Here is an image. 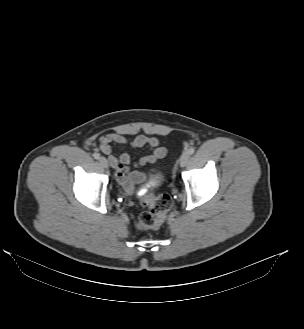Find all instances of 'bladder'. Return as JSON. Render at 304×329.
Here are the masks:
<instances>
[{
	"label": "bladder",
	"mask_w": 304,
	"mask_h": 329,
	"mask_svg": "<svg viewBox=\"0 0 304 329\" xmlns=\"http://www.w3.org/2000/svg\"><path fill=\"white\" fill-rule=\"evenodd\" d=\"M162 174V170L159 169V168H156L155 170H153L151 173H150V178L151 179H157L161 176Z\"/></svg>",
	"instance_id": "1"
}]
</instances>
